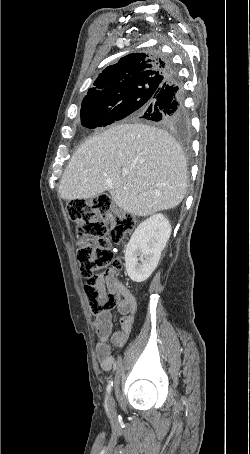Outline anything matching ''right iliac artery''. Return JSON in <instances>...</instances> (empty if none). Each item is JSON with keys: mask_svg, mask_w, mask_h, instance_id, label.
Segmentation results:
<instances>
[{"mask_svg": "<svg viewBox=\"0 0 250 454\" xmlns=\"http://www.w3.org/2000/svg\"><path fill=\"white\" fill-rule=\"evenodd\" d=\"M115 367H116V363H114V370H115ZM112 386H113V381L110 380L108 385H107V388H106V390H107L106 400H107L109 394L111 393Z\"/></svg>", "mask_w": 250, "mask_h": 454, "instance_id": "82829eb1", "label": "right iliac artery"}]
</instances>
